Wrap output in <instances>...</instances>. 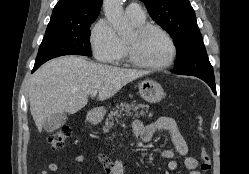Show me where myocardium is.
Masks as SVG:
<instances>
[{
  "mask_svg": "<svg viewBox=\"0 0 249 174\" xmlns=\"http://www.w3.org/2000/svg\"><path fill=\"white\" fill-rule=\"evenodd\" d=\"M151 31H157L161 33L167 38V40L171 44L172 47L171 57L169 58L168 61L164 63L161 64L148 63L143 61L137 54V47L140 41ZM124 47H125L126 56L130 63H132L137 67L150 69V70H160L171 66L174 63L178 52L176 42L173 39V37L170 35V33L161 26L151 23H145L143 25L135 27V29L132 32V36L125 40Z\"/></svg>",
  "mask_w": 249,
  "mask_h": 174,
  "instance_id": "f54148a6",
  "label": "myocardium"
}]
</instances>
